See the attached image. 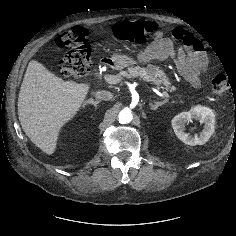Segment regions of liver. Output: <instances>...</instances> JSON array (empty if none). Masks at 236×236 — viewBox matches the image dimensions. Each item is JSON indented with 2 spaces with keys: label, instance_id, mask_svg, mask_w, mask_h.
I'll return each mask as SVG.
<instances>
[{
  "label": "liver",
  "instance_id": "6515ba94",
  "mask_svg": "<svg viewBox=\"0 0 236 236\" xmlns=\"http://www.w3.org/2000/svg\"><path fill=\"white\" fill-rule=\"evenodd\" d=\"M89 90V84L64 81L30 61L18 97L23 131L43 152L53 154L62 127L76 116Z\"/></svg>",
  "mask_w": 236,
  "mask_h": 236
}]
</instances>
